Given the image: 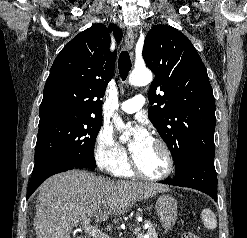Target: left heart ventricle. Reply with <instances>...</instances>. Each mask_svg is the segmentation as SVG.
<instances>
[{
	"label": "left heart ventricle",
	"instance_id": "obj_1",
	"mask_svg": "<svg viewBox=\"0 0 247 238\" xmlns=\"http://www.w3.org/2000/svg\"><path fill=\"white\" fill-rule=\"evenodd\" d=\"M133 157L141 171L148 175L157 176L166 169L164 153L152 140Z\"/></svg>",
	"mask_w": 247,
	"mask_h": 238
}]
</instances>
